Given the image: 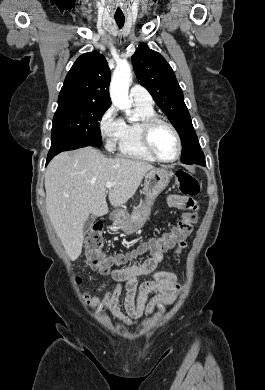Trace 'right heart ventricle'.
<instances>
[{
  "mask_svg": "<svg viewBox=\"0 0 265 390\" xmlns=\"http://www.w3.org/2000/svg\"><path fill=\"white\" fill-rule=\"evenodd\" d=\"M138 121L123 122L122 129L116 141L119 155L125 158L155 162L156 160L145 150L140 136V123L147 117L155 115L153 106L135 104Z\"/></svg>",
  "mask_w": 265,
  "mask_h": 390,
  "instance_id": "obj_1",
  "label": "right heart ventricle"
}]
</instances>
